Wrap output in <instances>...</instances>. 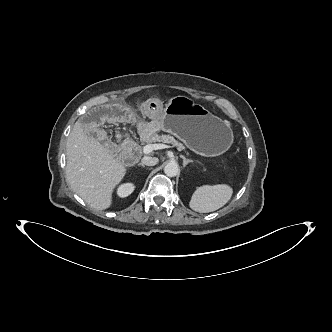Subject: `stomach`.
Returning a JSON list of instances; mask_svg holds the SVG:
<instances>
[{
    "instance_id": "obj_1",
    "label": "stomach",
    "mask_w": 332,
    "mask_h": 332,
    "mask_svg": "<svg viewBox=\"0 0 332 332\" xmlns=\"http://www.w3.org/2000/svg\"><path fill=\"white\" fill-rule=\"evenodd\" d=\"M156 125L205 156H217L233 142L232 129L225 121L185 96L171 98Z\"/></svg>"
}]
</instances>
